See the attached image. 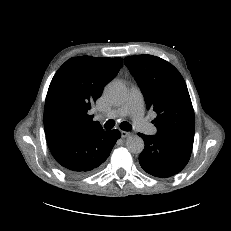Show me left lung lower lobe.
Instances as JSON below:
<instances>
[{
  "label": "left lung lower lobe",
  "mask_w": 231,
  "mask_h": 231,
  "mask_svg": "<svg viewBox=\"0 0 231 231\" xmlns=\"http://www.w3.org/2000/svg\"><path fill=\"white\" fill-rule=\"evenodd\" d=\"M138 135L145 143L139 162L147 173L166 178L179 173L188 163L193 142L142 133Z\"/></svg>",
  "instance_id": "0a47b994"
}]
</instances>
